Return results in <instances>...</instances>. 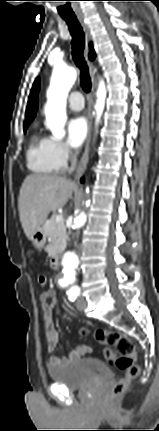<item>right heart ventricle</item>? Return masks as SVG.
Wrapping results in <instances>:
<instances>
[{
	"label": "right heart ventricle",
	"instance_id": "1",
	"mask_svg": "<svg viewBox=\"0 0 159 431\" xmlns=\"http://www.w3.org/2000/svg\"><path fill=\"white\" fill-rule=\"evenodd\" d=\"M26 156L28 168L33 172L47 174L55 171L48 155L46 138L32 135Z\"/></svg>",
	"mask_w": 159,
	"mask_h": 431
}]
</instances>
